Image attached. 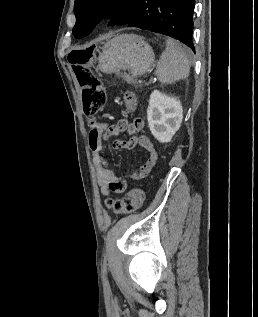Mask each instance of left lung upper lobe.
<instances>
[{"label": "left lung upper lobe", "instance_id": "left-lung-upper-lobe-1", "mask_svg": "<svg viewBox=\"0 0 258 317\" xmlns=\"http://www.w3.org/2000/svg\"><path fill=\"white\" fill-rule=\"evenodd\" d=\"M137 2L138 0H75L74 37L88 35L103 18H111V25L127 24Z\"/></svg>", "mask_w": 258, "mask_h": 317}]
</instances>
